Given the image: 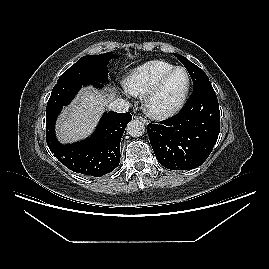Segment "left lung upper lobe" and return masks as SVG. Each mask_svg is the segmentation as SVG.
Wrapping results in <instances>:
<instances>
[{"instance_id":"obj_1","label":"left lung upper lobe","mask_w":269,"mask_h":269,"mask_svg":"<svg viewBox=\"0 0 269 269\" xmlns=\"http://www.w3.org/2000/svg\"><path fill=\"white\" fill-rule=\"evenodd\" d=\"M174 55L179 59L180 62L183 63V65L188 70V72L192 78L194 88H196L202 84L210 82L207 75L198 66H196L195 64L190 62L188 59H186L185 57H183L179 54L174 53Z\"/></svg>"}]
</instances>
